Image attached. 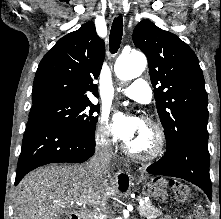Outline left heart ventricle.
Returning a JSON list of instances; mask_svg holds the SVG:
<instances>
[{"label":"left heart ventricle","mask_w":221,"mask_h":219,"mask_svg":"<svg viewBox=\"0 0 221 219\" xmlns=\"http://www.w3.org/2000/svg\"><path fill=\"white\" fill-rule=\"evenodd\" d=\"M127 144L137 152H147L153 145V134L143 124L134 137Z\"/></svg>","instance_id":"obj_1"}]
</instances>
